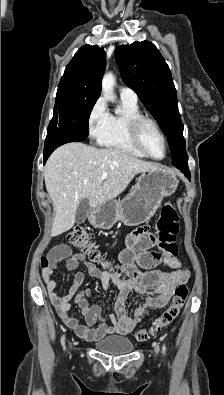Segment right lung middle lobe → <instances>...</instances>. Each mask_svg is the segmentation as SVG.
I'll return each instance as SVG.
<instances>
[{
    "label": "right lung middle lobe",
    "instance_id": "dd1d6c3e",
    "mask_svg": "<svg viewBox=\"0 0 224 395\" xmlns=\"http://www.w3.org/2000/svg\"><path fill=\"white\" fill-rule=\"evenodd\" d=\"M98 98V94L59 85L47 132L85 140L89 133V116Z\"/></svg>",
    "mask_w": 224,
    "mask_h": 395
}]
</instances>
